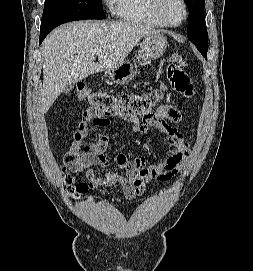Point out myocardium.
I'll return each mask as SVG.
<instances>
[{
    "label": "myocardium",
    "instance_id": "1",
    "mask_svg": "<svg viewBox=\"0 0 253 271\" xmlns=\"http://www.w3.org/2000/svg\"><path fill=\"white\" fill-rule=\"evenodd\" d=\"M163 2L164 0H153V10L156 14V16L159 18V20L165 25V26H168V27H178L180 25H182L187 17H188V5L186 3L185 0H180V2L182 3V6H183V9H184V15H183V18L177 22V23H173L171 22L168 17L166 16V14L164 13V10H163Z\"/></svg>",
    "mask_w": 253,
    "mask_h": 271
}]
</instances>
